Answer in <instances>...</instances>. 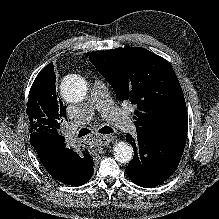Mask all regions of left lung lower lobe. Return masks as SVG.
Listing matches in <instances>:
<instances>
[{"label": "left lung lower lobe", "instance_id": "1", "mask_svg": "<svg viewBox=\"0 0 219 219\" xmlns=\"http://www.w3.org/2000/svg\"><path fill=\"white\" fill-rule=\"evenodd\" d=\"M126 140L134 149V158L126 167V173L135 184L145 188L155 187L172 175L185 146L139 135L134 140L128 134Z\"/></svg>", "mask_w": 219, "mask_h": 219}]
</instances>
